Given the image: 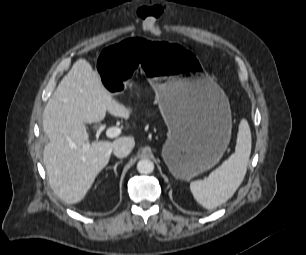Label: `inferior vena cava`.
I'll use <instances>...</instances> for the list:
<instances>
[{
    "label": "inferior vena cava",
    "mask_w": 306,
    "mask_h": 255,
    "mask_svg": "<svg viewBox=\"0 0 306 255\" xmlns=\"http://www.w3.org/2000/svg\"><path fill=\"white\" fill-rule=\"evenodd\" d=\"M133 147L132 140L129 138H124L114 145L113 153L118 158H124L130 154Z\"/></svg>",
    "instance_id": "1"
}]
</instances>
